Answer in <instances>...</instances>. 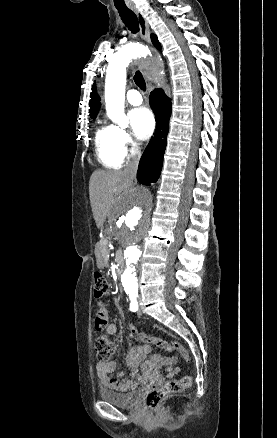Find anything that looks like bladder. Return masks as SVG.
Masks as SVG:
<instances>
[{
  "label": "bladder",
  "mask_w": 277,
  "mask_h": 438,
  "mask_svg": "<svg viewBox=\"0 0 277 438\" xmlns=\"http://www.w3.org/2000/svg\"><path fill=\"white\" fill-rule=\"evenodd\" d=\"M97 394L103 402H108L122 409H134L141 399V392L139 390L123 394L110 388H103L98 390Z\"/></svg>",
  "instance_id": "bladder-1"
}]
</instances>
